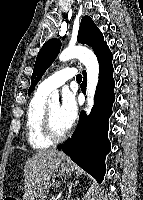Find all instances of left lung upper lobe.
<instances>
[{
    "instance_id": "5c2ea615",
    "label": "left lung upper lobe",
    "mask_w": 143,
    "mask_h": 200,
    "mask_svg": "<svg viewBox=\"0 0 143 200\" xmlns=\"http://www.w3.org/2000/svg\"><path fill=\"white\" fill-rule=\"evenodd\" d=\"M78 42L90 46L95 54L106 44L102 33L89 16H84L81 20L78 32ZM60 47V40L50 39L39 51L31 77V87L28 90L29 94L34 90L44 72L53 63L60 51Z\"/></svg>"
}]
</instances>
